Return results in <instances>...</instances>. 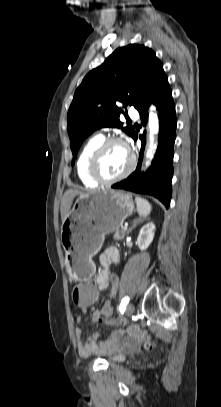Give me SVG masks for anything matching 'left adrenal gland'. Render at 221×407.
<instances>
[{"label":"left adrenal gland","mask_w":221,"mask_h":407,"mask_svg":"<svg viewBox=\"0 0 221 407\" xmlns=\"http://www.w3.org/2000/svg\"><path fill=\"white\" fill-rule=\"evenodd\" d=\"M143 220L141 218H137L135 220H133L132 226L131 228L128 230L127 233H129L134 227H136L140 222H142Z\"/></svg>","instance_id":"left-adrenal-gland-1"}]
</instances>
